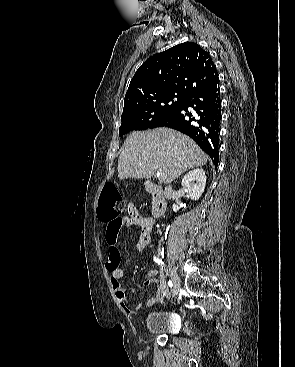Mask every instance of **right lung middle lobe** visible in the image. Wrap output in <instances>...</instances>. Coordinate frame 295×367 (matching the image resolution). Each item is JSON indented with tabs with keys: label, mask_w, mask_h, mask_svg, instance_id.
<instances>
[{
	"label": "right lung middle lobe",
	"mask_w": 295,
	"mask_h": 367,
	"mask_svg": "<svg viewBox=\"0 0 295 367\" xmlns=\"http://www.w3.org/2000/svg\"><path fill=\"white\" fill-rule=\"evenodd\" d=\"M186 97L177 94H163L133 102L122 113L120 136L130 131L150 128L158 120L179 109Z\"/></svg>",
	"instance_id": "1"
}]
</instances>
